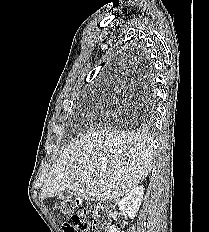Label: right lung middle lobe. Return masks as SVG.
I'll use <instances>...</instances> for the list:
<instances>
[{
  "label": "right lung middle lobe",
  "mask_w": 209,
  "mask_h": 232,
  "mask_svg": "<svg viewBox=\"0 0 209 232\" xmlns=\"http://www.w3.org/2000/svg\"><path fill=\"white\" fill-rule=\"evenodd\" d=\"M142 108L139 110V121L145 128H151L153 125V113H154V91L149 81L145 86V93L142 100Z\"/></svg>",
  "instance_id": "right-lung-middle-lobe-1"
}]
</instances>
